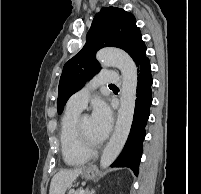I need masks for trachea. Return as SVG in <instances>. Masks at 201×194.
<instances>
[{"label": "trachea", "mask_w": 201, "mask_h": 194, "mask_svg": "<svg viewBox=\"0 0 201 194\" xmlns=\"http://www.w3.org/2000/svg\"><path fill=\"white\" fill-rule=\"evenodd\" d=\"M109 86H111V87H112V86H115V85L111 84V85H109Z\"/></svg>", "instance_id": "3493384b"}]
</instances>
